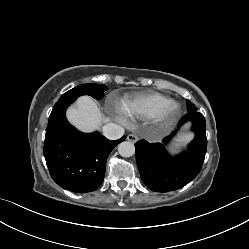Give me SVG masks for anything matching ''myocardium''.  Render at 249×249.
Returning a JSON list of instances; mask_svg holds the SVG:
<instances>
[{
  "instance_id": "myocardium-1",
  "label": "myocardium",
  "mask_w": 249,
  "mask_h": 249,
  "mask_svg": "<svg viewBox=\"0 0 249 249\" xmlns=\"http://www.w3.org/2000/svg\"><path fill=\"white\" fill-rule=\"evenodd\" d=\"M180 113V105L176 102H171L161 110H159L154 119L158 121L162 126L168 127L172 125Z\"/></svg>"
}]
</instances>
